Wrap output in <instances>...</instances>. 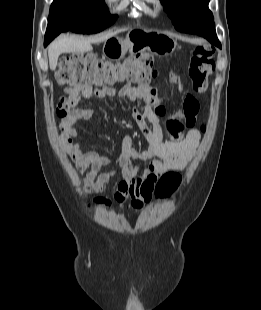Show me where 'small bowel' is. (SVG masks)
<instances>
[{"mask_svg": "<svg viewBox=\"0 0 261 310\" xmlns=\"http://www.w3.org/2000/svg\"><path fill=\"white\" fill-rule=\"evenodd\" d=\"M73 105L78 104L82 98L91 97H126L131 101L151 96L154 90L147 84L138 86L125 85L119 90L115 88L92 89L87 85H77L68 91ZM199 112V102L192 94H187L183 100L178 119L168 123L171 140H165L160 116L164 115V108L158 106L145 107L143 110L134 109V117L145 134L149 146L139 151L133 145L130 136H123L120 152L109 157L96 152H84L80 143L74 141L78 135L77 123L81 120L90 121L93 109L77 107L63 121L66 143L70 157L78 171L82 174L88 170L87 176L82 178L85 190L94 193L103 192L111 178L120 175L121 180L114 193L115 200L123 205L129 202L134 210H141L148 203L159 179L167 172L181 170L186 167L194 155L196 145L200 139V132L194 129L196 117ZM189 128L184 134V130ZM140 161L142 168L134 164ZM115 165L110 170L100 173L104 167Z\"/></svg>", "mask_w": 261, "mask_h": 310, "instance_id": "1", "label": "small bowel"}]
</instances>
